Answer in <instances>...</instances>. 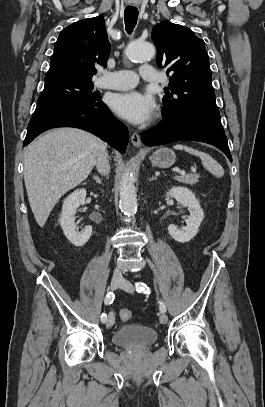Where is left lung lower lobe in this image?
Here are the masks:
<instances>
[{"mask_svg": "<svg viewBox=\"0 0 265 407\" xmlns=\"http://www.w3.org/2000/svg\"><path fill=\"white\" fill-rule=\"evenodd\" d=\"M181 140H192L211 144L226 154L230 161L225 132L192 119L162 120L156 127L142 134L147 146H157Z\"/></svg>", "mask_w": 265, "mask_h": 407, "instance_id": "1", "label": "left lung lower lobe"}]
</instances>
